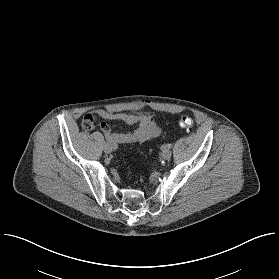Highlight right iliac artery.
Segmentation results:
<instances>
[{
	"instance_id": "right-iliac-artery-1",
	"label": "right iliac artery",
	"mask_w": 279,
	"mask_h": 279,
	"mask_svg": "<svg viewBox=\"0 0 279 279\" xmlns=\"http://www.w3.org/2000/svg\"><path fill=\"white\" fill-rule=\"evenodd\" d=\"M105 139H106V141H107L108 143H110V140H109V138H108L107 136H105ZM112 148H113V149H117V146H116V145H112Z\"/></svg>"
}]
</instances>
